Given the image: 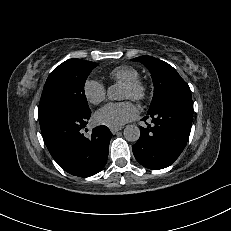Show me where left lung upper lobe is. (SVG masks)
I'll use <instances>...</instances> for the list:
<instances>
[{
	"label": "left lung upper lobe",
	"instance_id": "5c2ea615",
	"mask_svg": "<svg viewBox=\"0 0 231 231\" xmlns=\"http://www.w3.org/2000/svg\"><path fill=\"white\" fill-rule=\"evenodd\" d=\"M132 61L141 62L151 73L154 95L149 110L154 109L168 98L191 96L188 84L168 63L151 56H140L132 59Z\"/></svg>",
	"mask_w": 231,
	"mask_h": 231
}]
</instances>
